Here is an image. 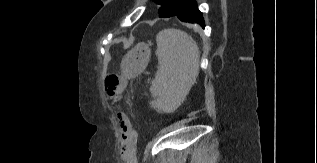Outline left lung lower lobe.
I'll return each mask as SVG.
<instances>
[{
    "instance_id": "1",
    "label": "left lung lower lobe",
    "mask_w": 317,
    "mask_h": 163,
    "mask_svg": "<svg viewBox=\"0 0 317 163\" xmlns=\"http://www.w3.org/2000/svg\"><path fill=\"white\" fill-rule=\"evenodd\" d=\"M177 16L183 22L198 23L204 28L202 13L198 10L194 0H185L176 13L169 16Z\"/></svg>"
}]
</instances>
